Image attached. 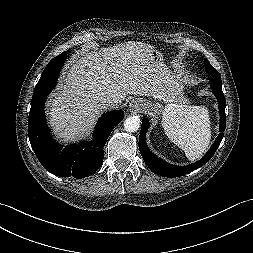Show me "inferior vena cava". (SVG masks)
<instances>
[{
  "label": "inferior vena cava",
  "mask_w": 253,
  "mask_h": 253,
  "mask_svg": "<svg viewBox=\"0 0 253 253\" xmlns=\"http://www.w3.org/2000/svg\"><path fill=\"white\" fill-rule=\"evenodd\" d=\"M101 108L102 109H112L115 108L119 105L118 100L115 99H110V98H104L101 103Z\"/></svg>",
  "instance_id": "inferior-vena-cava-1"
}]
</instances>
